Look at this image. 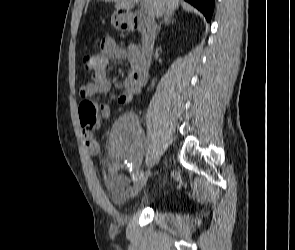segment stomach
<instances>
[{"label": "stomach", "mask_w": 295, "mask_h": 250, "mask_svg": "<svg viewBox=\"0 0 295 250\" xmlns=\"http://www.w3.org/2000/svg\"><path fill=\"white\" fill-rule=\"evenodd\" d=\"M111 23L115 28H117L119 30H122L127 26L126 23H125V19H124L123 15L118 14V13H115L112 16Z\"/></svg>", "instance_id": "obj_1"}]
</instances>
